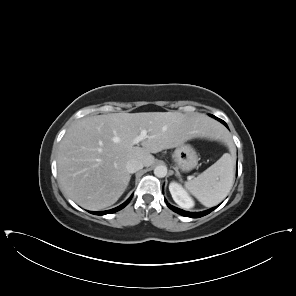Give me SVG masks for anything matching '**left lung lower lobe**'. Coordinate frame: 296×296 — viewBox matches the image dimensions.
Wrapping results in <instances>:
<instances>
[{"mask_svg":"<svg viewBox=\"0 0 296 296\" xmlns=\"http://www.w3.org/2000/svg\"><path fill=\"white\" fill-rule=\"evenodd\" d=\"M221 121V120H220ZM221 122H223V121H221ZM224 123V122H223ZM225 124V123H224ZM226 125V124H225ZM227 126V125H226ZM165 202H166V204H167V206L171 209V210H173L174 212H176V213H178V214H180V215H183V216H186V217H192V218H198V217H202V216H204V215H207V214H209L211 211H213L216 207H214V208H211V209H209V210H207V211H203V212H195V213H192V212H186V211H184V210H181V209H179V208H176V207H174V206H172V205H170L166 200H165Z\"/></svg>","mask_w":296,"mask_h":296,"instance_id":"obj_1","label":"left lung lower lobe"}]
</instances>
